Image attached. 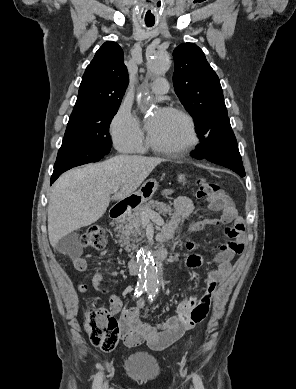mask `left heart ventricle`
Segmentation results:
<instances>
[{
    "label": "left heart ventricle",
    "mask_w": 296,
    "mask_h": 389,
    "mask_svg": "<svg viewBox=\"0 0 296 389\" xmlns=\"http://www.w3.org/2000/svg\"><path fill=\"white\" fill-rule=\"evenodd\" d=\"M150 134L156 143L164 146H177L188 138L185 121L180 116L166 110L162 112Z\"/></svg>",
    "instance_id": "b2bd125f"
}]
</instances>
